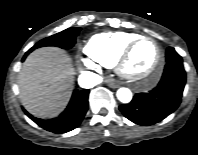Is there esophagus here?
<instances>
[{"label": "esophagus", "instance_id": "esophagus-1", "mask_svg": "<svg viewBox=\"0 0 198 155\" xmlns=\"http://www.w3.org/2000/svg\"><path fill=\"white\" fill-rule=\"evenodd\" d=\"M105 82L110 88L115 89L119 87V85L112 79H106Z\"/></svg>", "mask_w": 198, "mask_h": 155}]
</instances>
